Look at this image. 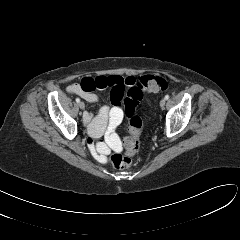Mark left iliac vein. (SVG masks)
I'll return each mask as SVG.
<instances>
[{"label": "left iliac vein", "instance_id": "1", "mask_svg": "<svg viewBox=\"0 0 240 240\" xmlns=\"http://www.w3.org/2000/svg\"><path fill=\"white\" fill-rule=\"evenodd\" d=\"M165 103H166V100H165V98H163V99L160 101V107H164V106H165Z\"/></svg>", "mask_w": 240, "mask_h": 240}]
</instances>
